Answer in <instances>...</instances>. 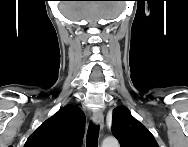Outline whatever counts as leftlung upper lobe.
Masks as SVG:
<instances>
[{
	"mask_svg": "<svg viewBox=\"0 0 188 147\" xmlns=\"http://www.w3.org/2000/svg\"><path fill=\"white\" fill-rule=\"evenodd\" d=\"M112 132L121 147H159L154 136L131 115L125 106L114 109Z\"/></svg>",
	"mask_w": 188,
	"mask_h": 147,
	"instance_id": "obj_1",
	"label": "left lung upper lobe"
}]
</instances>
